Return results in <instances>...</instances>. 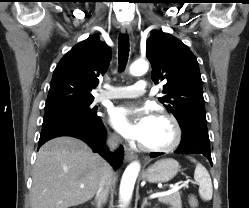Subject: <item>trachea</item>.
Instances as JSON below:
<instances>
[{
  "label": "trachea",
  "instance_id": "1",
  "mask_svg": "<svg viewBox=\"0 0 249 208\" xmlns=\"http://www.w3.org/2000/svg\"><path fill=\"white\" fill-rule=\"evenodd\" d=\"M129 56V36L127 34H121L118 38V60L119 70L123 71L127 64Z\"/></svg>",
  "mask_w": 249,
  "mask_h": 208
}]
</instances>
